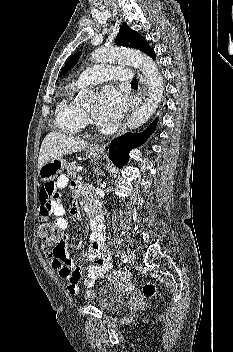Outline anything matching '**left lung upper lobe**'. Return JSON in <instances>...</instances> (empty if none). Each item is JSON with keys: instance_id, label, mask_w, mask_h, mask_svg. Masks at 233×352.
I'll list each match as a JSON object with an SVG mask.
<instances>
[{"instance_id": "5c2ea615", "label": "left lung upper lobe", "mask_w": 233, "mask_h": 352, "mask_svg": "<svg viewBox=\"0 0 233 352\" xmlns=\"http://www.w3.org/2000/svg\"><path fill=\"white\" fill-rule=\"evenodd\" d=\"M116 44L119 46L124 47H132L139 49L149 55L152 59H156L155 52L153 49L148 45L147 41L143 36H141L136 31L130 29L127 24H122L120 26L119 33L116 36L115 40ZM81 52H77L74 54L68 61L66 62L65 66L63 67L60 77L66 74L79 60Z\"/></svg>"}]
</instances>
